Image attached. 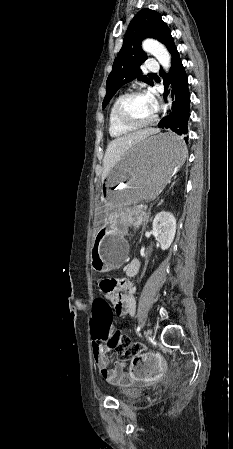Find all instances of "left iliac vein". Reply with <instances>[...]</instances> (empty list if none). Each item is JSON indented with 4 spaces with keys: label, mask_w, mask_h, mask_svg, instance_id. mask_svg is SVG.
Segmentation results:
<instances>
[{
    "label": "left iliac vein",
    "mask_w": 233,
    "mask_h": 449,
    "mask_svg": "<svg viewBox=\"0 0 233 449\" xmlns=\"http://www.w3.org/2000/svg\"><path fill=\"white\" fill-rule=\"evenodd\" d=\"M144 335H145V337L146 338H149V337H151L152 336V329H147L145 332H144Z\"/></svg>",
    "instance_id": "4c4485c4"
}]
</instances>
